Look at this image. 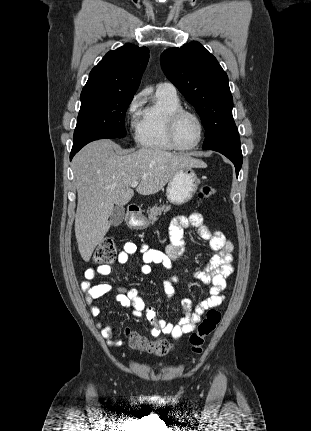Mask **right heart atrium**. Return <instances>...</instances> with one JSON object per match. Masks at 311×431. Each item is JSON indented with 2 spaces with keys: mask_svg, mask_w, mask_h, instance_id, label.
I'll list each match as a JSON object with an SVG mask.
<instances>
[{
  "mask_svg": "<svg viewBox=\"0 0 311 431\" xmlns=\"http://www.w3.org/2000/svg\"><path fill=\"white\" fill-rule=\"evenodd\" d=\"M145 101V93L139 92L131 97L126 106V117L129 124L134 127L141 116V107Z\"/></svg>",
  "mask_w": 311,
  "mask_h": 431,
  "instance_id": "right-heart-atrium-1",
  "label": "right heart atrium"
}]
</instances>
